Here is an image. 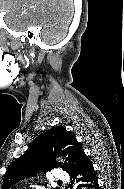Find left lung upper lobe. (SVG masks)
Wrapping results in <instances>:
<instances>
[{
	"label": "left lung upper lobe",
	"mask_w": 124,
	"mask_h": 189,
	"mask_svg": "<svg viewBox=\"0 0 124 189\" xmlns=\"http://www.w3.org/2000/svg\"><path fill=\"white\" fill-rule=\"evenodd\" d=\"M57 154L67 156L70 164L56 162ZM84 155L86 154L74 134L64 127H53L36 137L28 150L10 165L2 189H9L17 181L36 174L40 169L50 171L60 166L72 174L78 169Z\"/></svg>",
	"instance_id": "1"
}]
</instances>
